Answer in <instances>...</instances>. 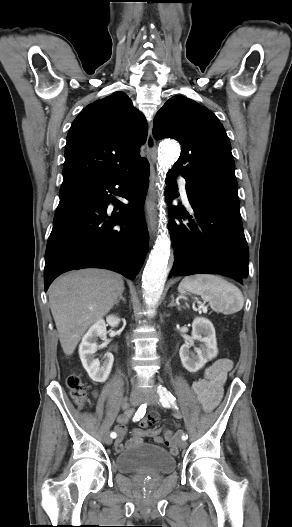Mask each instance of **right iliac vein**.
<instances>
[{
  "instance_id": "1",
  "label": "right iliac vein",
  "mask_w": 292,
  "mask_h": 527,
  "mask_svg": "<svg viewBox=\"0 0 292 527\" xmlns=\"http://www.w3.org/2000/svg\"><path fill=\"white\" fill-rule=\"evenodd\" d=\"M141 393L133 392L130 396V403L132 406H138L141 402ZM106 444L110 445L112 443V438L110 436L105 437Z\"/></svg>"
}]
</instances>
